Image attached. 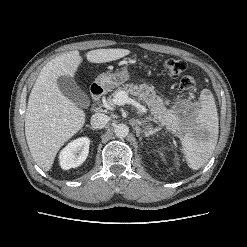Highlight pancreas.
I'll return each instance as SVG.
<instances>
[{"label":"pancreas","mask_w":247,"mask_h":247,"mask_svg":"<svg viewBox=\"0 0 247 247\" xmlns=\"http://www.w3.org/2000/svg\"><path fill=\"white\" fill-rule=\"evenodd\" d=\"M121 91H125L127 94L135 96L138 101L146 104L154 116V121L160 122L162 125H165L168 128L173 125V114L171 111L167 110L163 100L160 98V96L156 95L153 87H150L146 84L135 85L133 83H129L119 86L112 94L113 97ZM113 97H110L107 100V103L110 107H114V103L112 101Z\"/></svg>","instance_id":"obj_1"}]
</instances>
